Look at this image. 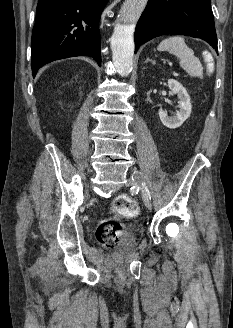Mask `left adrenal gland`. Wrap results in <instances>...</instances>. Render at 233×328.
<instances>
[{
	"label": "left adrenal gland",
	"instance_id": "obj_1",
	"mask_svg": "<svg viewBox=\"0 0 233 328\" xmlns=\"http://www.w3.org/2000/svg\"><path fill=\"white\" fill-rule=\"evenodd\" d=\"M147 62H151L153 65H155V63H156L154 60L149 59V58L146 59L145 63H147Z\"/></svg>",
	"mask_w": 233,
	"mask_h": 328
}]
</instances>
